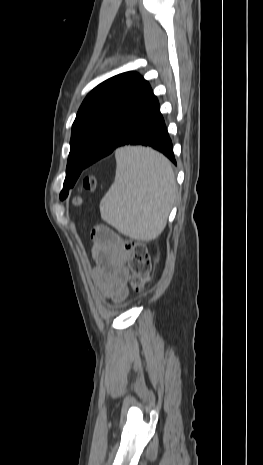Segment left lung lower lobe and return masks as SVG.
<instances>
[{
    "instance_id": "left-lung-lower-lobe-1",
    "label": "left lung lower lobe",
    "mask_w": 263,
    "mask_h": 465,
    "mask_svg": "<svg viewBox=\"0 0 263 465\" xmlns=\"http://www.w3.org/2000/svg\"><path fill=\"white\" fill-rule=\"evenodd\" d=\"M130 145L150 146L167 156L175 165L171 139L159 103L148 82L139 94L124 107L101 135L85 168L109 155L116 148ZM70 169L68 162L66 173Z\"/></svg>"
}]
</instances>
